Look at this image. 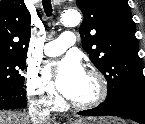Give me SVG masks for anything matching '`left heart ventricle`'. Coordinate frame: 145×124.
Wrapping results in <instances>:
<instances>
[{"label": "left heart ventricle", "instance_id": "b2bd125f", "mask_svg": "<svg viewBox=\"0 0 145 124\" xmlns=\"http://www.w3.org/2000/svg\"><path fill=\"white\" fill-rule=\"evenodd\" d=\"M97 92L98 84L96 80L85 74V77L78 87L76 94L70 98V100L78 103L86 102L93 99L97 95Z\"/></svg>", "mask_w": 145, "mask_h": 124}]
</instances>
